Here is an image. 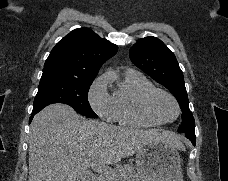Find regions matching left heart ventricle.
Wrapping results in <instances>:
<instances>
[{
  "mask_svg": "<svg viewBox=\"0 0 228 181\" xmlns=\"http://www.w3.org/2000/svg\"><path fill=\"white\" fill-rule=\"evenodd\" d=\"M151 109L157 114L162 113L165 117H170L174 114L171 101L162 94H158L154 97L151 102Z\"/></svg>",
  "mask_w": 228,
  "mask_h": 181,
  "instance_id": "left-heart-ventricle-1",
  "label": "left heart ventricle"
}]
</instances>
